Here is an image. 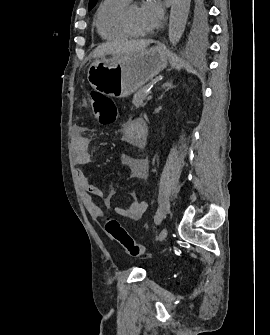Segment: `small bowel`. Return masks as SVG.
<instances>
[{
    "instance_id": "1",
    "label": "small bowel",
    "mask_w": 270,
    "mask_h": 335,
    "mask_svg": "<svg viewBox=\"0 0 270 335\" xmlns=\"http://www.w3.org/2000/svg\"><path fill=\"white\" fill-rule=\"evenodd\" d=\"M73 152L74 160L79 165H88L91 163L89 153L90 139L85 133V129L81 125L73 127ZM147 136V126L142 119H134L128 121L123 128V137L125 141L133 148L138 149L145 145ZM123 163L129 168L132 177L137 179H147L149 176V162L146 159L138 158L127 154L123 156ZM76 177L80 188L83 191V202L95 220L103 217V209L99 206L93 197L103 199L104 205L110 207L112 205V191L108 195H104L102 190L92 183L85 172L78 168ZM147 210L145 201L134 200L127 207L117 206L116 213L127 219L139 220L143 217Z\"/></svg>"
}]
</instances>
